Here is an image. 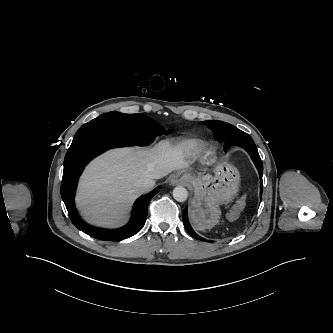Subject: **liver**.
I'll use <instances>...</instances> for the list:
<instances>
[{
	"label": "liver",
	"mask_w": 333,
	"mask_h": 333,
	"mask_svg": "<svg viewBox=\"0 0 333 333\" xmlns=\"http://www.w3.org/2000/svg\"><path fill=\"white\" fill-rule=\"evenodd\" d=\"M189 169L186 153L168 140L150 148L111 150L95 159L82 176L76 202L83 218L103 227L120 226L133 200L144 191L136 182Z\"/></svg>",
	"instance_id": "obj_1"
}]
</instances>
